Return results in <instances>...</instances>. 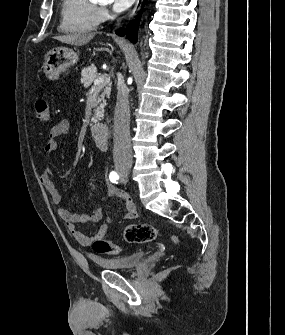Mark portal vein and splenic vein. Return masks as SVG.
Listing matches in <instances>:
<instances>
[{"instance_id": "obj_1", "label": "portal vein and splenic vein", "mask_w": 285, "mask_h": 335, "mask_svg": "<svg viewBox=\"0 0 285 335\" xmlns=\"http://www.w3.org/2000/svg\"><path fill=\"white\" fill-rule=\"evenodd\" d=\"M108 82H110L108 76H101V78H96V80H94V84H108Z\"/></svg>"}]
</instances>
